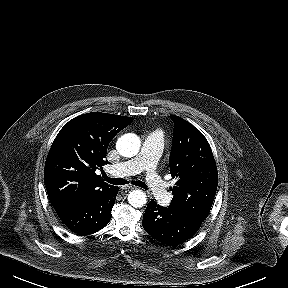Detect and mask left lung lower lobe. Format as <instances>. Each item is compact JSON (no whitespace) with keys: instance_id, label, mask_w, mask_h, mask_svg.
I'll list each match as a JSON object with an SVG mask.
<instances>
[{"instance_id":"obj_1","label":"left lung lower lobe","mask_w":288,"mask_h":288,"mask_svg":"<svg viewBox=\"0 0 288 288\" xmlns=\"http://www.w3.org/2000/svg\"><path fill=\"white\" fill-rule=\"evenodd\" d=\"M199 221L188 214L162 207L151 200L143 216V227L148 234L168 246H175L191 238L200 228Z\"/></svg>"}]
</instances>
